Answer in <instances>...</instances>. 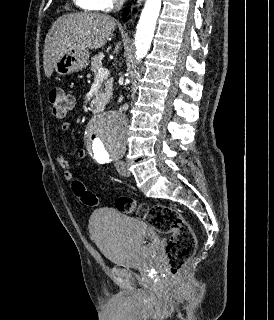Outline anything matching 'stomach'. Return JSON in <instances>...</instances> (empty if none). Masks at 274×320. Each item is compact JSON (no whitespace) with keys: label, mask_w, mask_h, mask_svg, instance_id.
<instances>
[{"label":"stomach","mask_w":274,"mask_h":320,"mask_svg":"<svg viewBox=\"0 0 274 320\" xmlns=\"http://www.w3.org/2000/svg\"><path fill=\"white\" fill-rule=\"evenodd\" d=\"M90 54L88 50H68L54 64V70L58 76H67L73 72H80L87 68Z\"/></svg>","instance_id":"stomach-1"}]
</instances>
